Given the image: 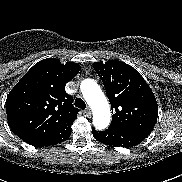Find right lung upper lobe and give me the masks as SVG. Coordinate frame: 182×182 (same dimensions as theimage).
Returning a JSON list of instances; mask_svg holds the SVG:
<instances>
[{
  "instance_id": "1",
  "label": "right lung upper lobe",
  "mask_w": 182,
  "mask_h": 182,
  "mask_svg": "<svg viewBox=\"0 0 182 182\" xmlns=\"http://www.w3.org/2000/svg\"><path fill=\"white\" fill-rule=\"evenodd\" d=\"M80 65L56 58L36 63L13 87L6 99L8 124L19 138L35 147L57 142L71 134L79 109L65 85Z\"/></svg>"
}]
</instances>
